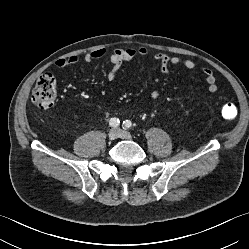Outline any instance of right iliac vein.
Returning a JSON list of instances; mask_svg holds the SVG:
<instances>
[{"mask_svg": "<svg viewBox=\"0 0 249 249\" xmlns=\"http://www.w3.org/2000/svg\"><path fill=\"white\" fill-rule=\"evenodd\" d=\"M118 137V130L113 128L108 133L109 140L113 141Z\"/></svg>", "mask_w": 249, "mask_h": 249, "instance_id": "obj_1", "label": "right iliac vein"}]
</instances>
